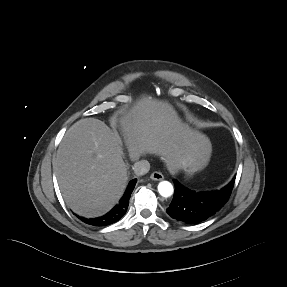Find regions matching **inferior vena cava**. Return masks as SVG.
<instances>
[{"label": "inferior vena cava", "instance_id": "1", "mask_svg": "<svg viewBox=\"0 0 287 287\" xmlns=\"http://www.w3.org/2000/svg\"><path fill=\"white\" fill-rule=\"evenodd\" d=\"M132 168L136 175H145L150 170V163L147 160H140L135 162Z\"/></svg>", "mask_w": 287, "mask_h": 287}]
</instances>
